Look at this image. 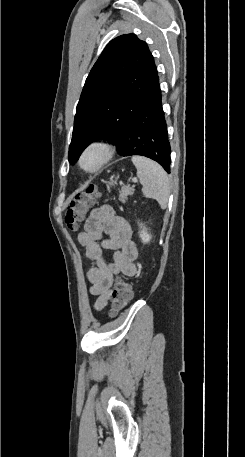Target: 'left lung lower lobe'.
<instances>
[{
	"mask_svg": "<svg viewBox=\"0 0 245 457\" xmlns=\"http://www.w3.org/2000/svg\"><path fill=\"white\" fill-rule=\"evenodd\" d=\"M159 77L148 98L137 110L124 113L110 130L100 131L85 147L97 139L112 140L121 156L141 155L158 162L170 173V143L162 109ZM83 149V150H84Z\"/></svg>",
	"mask_w": 245,
	"mask_h": 457,
	"instance_id": "obj_1",
	"label": "left lung lower lobe"
}]
</instances>
